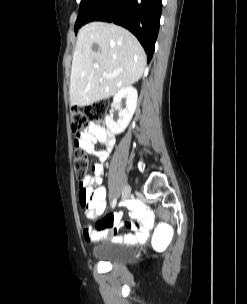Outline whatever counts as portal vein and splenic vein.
Masks as SVG:
<instances>
[{
  "label": "portal vein and splenic vein",
  "mask_w": 247,
  "mask_h": 304,
  "mask_svg": "<svg viewBox=\"0 0 247 304\" xmlns=\"http://www.w3.org/2000/svg\"><path fill=\"white\" fill-rule=\"evenodd\" d=\"M102 76H103V77H109L110 75L107 74V73H103Z\"/></svg>",
  "instance_id": "18ae733b"
}]
</instances>
